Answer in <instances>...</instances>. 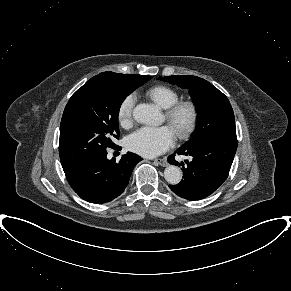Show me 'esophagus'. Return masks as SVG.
Instances as JSON below:
<instances>
[{
    "label": "esophagus",
    "mask_w": 291,
    "mask_h": 291,
    "mask_svg": "<svg viewBox=\"0 0 291 291\" xmlns=\"http://www.w3.org/2000/svg\"><path fill=\"white\" fill-rule=\"evenodd\" d=\"M154 163H156V164H158L160 166H163V167L168 165L167 160L166 159H161V158L155 159Z\"/></svg>",
    "instance_id": "1"
}]
</instances>
